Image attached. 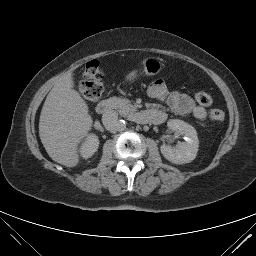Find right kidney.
I'll list each match as a JSON object with an SVG mask.
<instances>
[{
	"label": "right kidney",
	"instance_id": "1",
	"mask_svg": "<svg viewBox=\"0 0 256 256\" xmlns=\"http://www.w3.org/2000/svg\"><path fill=\"white\" fill-rule=\"evenodd\" d=\"M99 140L95 134H90L80 148L83 158H90L98 149Z\"/></svg>",
	"mask_w": 256,
	"mask_h": 256
}]
</instances>
